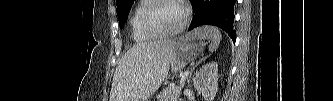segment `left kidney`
I'll return each instance as SVG.
<instances>
[{"instance_id": "5707ae66", "label": "left kidney", "mask_w": 333, "mask_h": 101, "mask_svg": "<svg viewBox=\"0 0 333 101\" xmlns=\"http://www.w3.org/2000/svg\"><path fill=\"white\" fill-rule=\"evenodd\" d=\"M194 87L206 101H213L218 91V64L210 62L195 74Z\"/></svg>"}]
</instances>
